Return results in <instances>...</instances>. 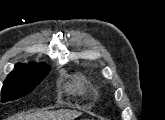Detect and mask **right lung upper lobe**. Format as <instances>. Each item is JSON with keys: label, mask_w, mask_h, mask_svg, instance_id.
Masks as SVG:
<instances>
[{"label": "right lung upper lobe", "mask_w": 165, "mask_h": 120, "mask_svg": "<svg viewBox=\"0 0 165 120\" xmlns=\"http://www.w3.org/2000/svg\"><path fill=\"white\" fill-rule=\"evenodd\" d=\"M22 65H36V64H21V63H18V64L15 65V67L22 66ZM36 66L47 67L48 65H45V64H37Z\"/></svg>", "instance_id": "right-lung-upper-lobe-1"}]
</instances>
